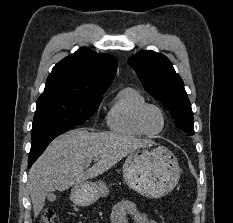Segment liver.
Returning <instances> with one entry per match:
<instances>
[{
	"mask_svg": "<svg viewBox=\"0 0 233 223\" xmlns=\"http://www.w3.org/2000/svg\"><path fill=\"white\" fill-rule=\"evenodd\" d=\"M143 143V139L134 135L115 131L92 133L87 127L59 135L28 171L27 187L34 217L43 209L47 193L55 189L63 191L101 175ZM92 159L96 163L85 169L84 165H90Z\"/></svg>",
	"mask_w": 233,
	"mask_h": 223,
	"instance_id": "6515ba94",
	"label": "liver"
}]
</instances>
